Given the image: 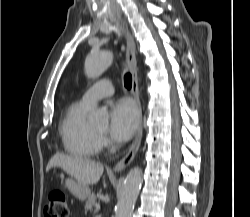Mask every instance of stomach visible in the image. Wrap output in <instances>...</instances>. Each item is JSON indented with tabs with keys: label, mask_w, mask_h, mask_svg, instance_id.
Returning a JSON list of instances; mask_svg holds the SVG:
<instances>
[{
	"label": "stomach",
	"mask_w": 250,
	"mask_h": 217,
	"mask_svg": "<svg viewBox=\"0 0 250 217\" xmlns=\"http://www.w3.org/2000/svg\"><path fill=\"white\" fill-rule=\"evenodd\" d=\"M65 184L72 195L80 201H85L91 195V190L88 186L81 185L71 178H68Z\"/></svg>",
	"instance_id": "stomach-1"
}]
</instances>
